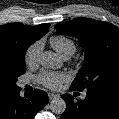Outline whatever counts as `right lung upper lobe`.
<instances>
[{"instance_id": "right-lung-upper-lobe-1", "label": "right lung upper lobe", "mask_w": 119, "mask_h": 119, "mask_svg": "<svg viewBox=\"0 0 119 119\" xmlns=\"http://www.w3.org/2000/svg\"><path fill=\"white\" fill-rule=\"evenodd\" d=\"M49 26L50 24H40L35 27L22 24L0 26V64L5 61L11 44L20 41H27L33 44L47 33ZM18 88L16 85L0 80V102Z\"/></svg>"}]
</instances>
